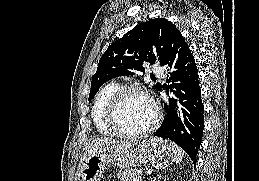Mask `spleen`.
<instances>
[{
    "mask_svg": "<svg viewBox=\"0 0 259 181\" xmlns=\"http://www.w3.org/2000/svg\"><path fill=\"white\" fill-rule=\"evenodd\" d=\"M169 145H170V148L173 152L174 161L176 163H180L182 161L183 157H184L183 150L177 144H175L174 142H170Z\"/></svg>",
    "mask_w": 259,
    "mask_h": 181,
    "instance_id": "spleen-1",
    "label": "spleen"
}]
</instances>
